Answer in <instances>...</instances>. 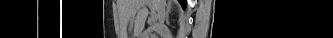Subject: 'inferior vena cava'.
<instances>
[{
  "mask_svg": "<svg viewBox=\"0 0 333 38\" xmlns=\"http://www.w3.org/2000/svg\"><path fill=\"white\" fill-rule=\"evenodd\" d=\"M165 5H166V0H159V9H158V19L159 23L162 25L164 23L165 19Z\"/></svg>",
  "mask_w": 333,
  "mask_h": 38,
  "instance_id": "602c4592",
  "label": "inferior vena cava"
}]
</instances>
